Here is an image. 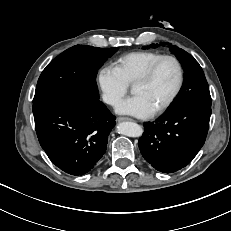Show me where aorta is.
Masks as SVG:
<instances>
[{"instance_id":"aorta-1","label":"aorta","mask_w":231,"mask_h":231,"mask_svg":"<svg viewBox=\"0 0 231 231\" xmlns=\"http://www.w3.org/2000/svg\"><path fill=\"white\" fill-rule=\"evenodd\" d=\"M117 131L128 137H140L143 134L142 127L134 122H122L118 124Z\"/></svg>"}]
</instances>
